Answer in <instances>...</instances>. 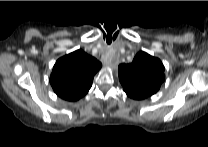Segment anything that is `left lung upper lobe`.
<instances>
[{
    "mask_svg": "<svg viewBox=\"0 0 208 147\" xmlns=\"http://www.w3.org/2000/svg\"><path fill=\"white\" fill-rule=\"evenodd\" d=\"M118 69L126 94H142L147 98L155 94L165 80V68L160 59L143 51L134 57L132 63L121 64Z\"/></svg>",
    "mask_w": 208,
    "mask_h": 147,
    "instance_id": "1",
    "label": "left lung upper lobe"
}]
</instances>
